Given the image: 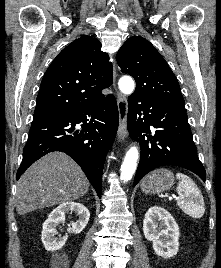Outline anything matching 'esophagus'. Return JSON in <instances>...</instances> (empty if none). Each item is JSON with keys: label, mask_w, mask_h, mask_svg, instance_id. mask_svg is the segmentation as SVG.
<instances>
[{"label": "esophagus", "mask_w": 221, "mask_h": 268, "mask_svg": "<svg viewBox=\"0 0 221 268\" xmlns=\"http://www.w3.org/2000/svg\"><path fill=\"white\" fill-rule=\"evenodd\" d=\"M115 78H116V71L114 69V86H115ZM117 106L119 111V126H118V139L119 141H123L127 135V113H128V105L126 98L118 94L117 97Z\"/></svg>", "instance_id": "obj_1"}]
</instances>
